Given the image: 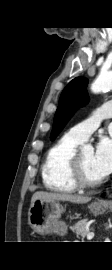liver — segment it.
Returning <instances> with one entry per match:
<instances>
[{
	"label": "liver",
	"mask_w": 112,
	"mask_h": 270,
	"mask_svg": "<svg viewBox=\"0 0 112 270\" xmlns=\"http://www.w3.org/2000/svg\"><path fill=\"white\" fill-rule=\"evenodd\" d=\"M37 199L42 200H56V201H69L77 204L88 203L91 200V197L80 196V195H72L68 193H51L45 191H37L33 194L31 198V203H33Z\"/></svg>",
	"instance_id": "1"
}]
</instances>
